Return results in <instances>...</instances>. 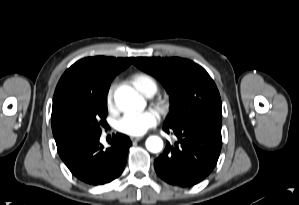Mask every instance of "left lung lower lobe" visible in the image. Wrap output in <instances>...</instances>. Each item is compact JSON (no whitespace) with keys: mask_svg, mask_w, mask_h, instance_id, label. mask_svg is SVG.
<instances>
[{"mask_svg":"<svg viewBox=\"0 0 299 205\" xmlns=\"http://www.w3.org/2000/svg\"><path fill=\"white\" fill-rule=\"evenodd\" d=\"M222 118L193 124L164 126L178 141L169 142L155 161L154 168L162 180L179 187H190L205 179L214 169L222 146Z\"/></svg>","mask_w":299,"mask_h":205,"instance_id":"0a47b994","label":"left lung lower lobe"}]
</instances>
